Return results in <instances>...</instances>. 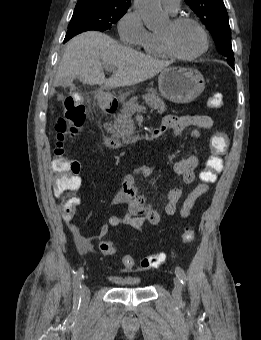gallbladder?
<instances>
[{
  "label": "gallbladder",
  "instance_id": "gallbladder-1",
  "mask_svg": "<svg viewBox=\"0 0 261 340\" xmlns=\"http://www.w3.org/2000/svg\"><path fill=\"white\" fill-rule=\"evenodd\" d=\"M71 84H72V81L69 82V83H67V84H62V86H63V87H66V86H69V85H71Z\"/></svg>",
  "mask_w": 261,
  "mask_h": 340
}]
</instances>
